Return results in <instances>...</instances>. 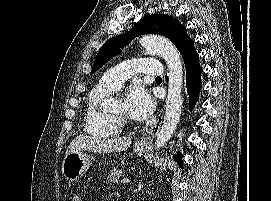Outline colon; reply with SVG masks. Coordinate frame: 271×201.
Listing matches in <instances>:
<instances>
[{
  "label": "colon",
  "instance_id": "colon-1",
  "mask_svg": "<svg viewBox=\"0 0 271 201\" xmlns=\"http://www.w3.org/2000/svg\"><path fill=\"white\" fill-rule=\"evenodd\" d=\"M72 201H83L82 196L77 192L73 195Z\"/></svg>",
  "mask_w": 271,
  "mask_h": 201
}]
</instances>
